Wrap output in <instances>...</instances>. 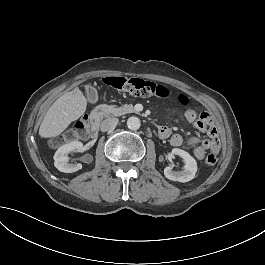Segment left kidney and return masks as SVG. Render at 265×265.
<instances>
[{
	"label": "left kidney",
	"instance_id": "1",
	"mask_svg": "<svg viewBox=\"0 0 265 265\" xmlns=\"http://www.w3.org/2000/svg\"><path fill=\"white\" fill-rule=\"evenodd\" d=\"M172 154L174 156H179L184 161V170L173 172L170 167L164 169V175L168 180L174 182L186 183L195 178L198 171V166L195 158L186 150L180 148H173Z\"/></svg>",
	"mask_w": 265,
	"mask_h": 265
}]
</instances>
